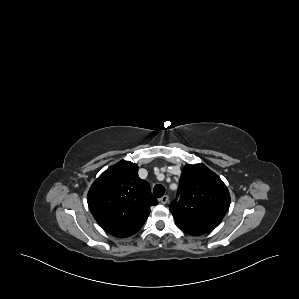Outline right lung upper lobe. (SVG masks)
I'll use <instances>...</instances> for the list:
<instances>
[{
    "label": "right lung upper lobe",
    "mask_w": 299,
    "mask_h": 299,
    "mask_svg": "<svg viewBox=\"0 0 299 299\" xmlns=\"http://www.w3.org/2000/svg\"><path fill=\"white\" fill-rule=\"evenodd\" d=\"M91 213L100 226L118 238L138 232L158 203L149 183L138 176V166L120 161L92 184L87 197Z\"/></svg>",
    "instance_id": "obj_1"
}]
</instances>
